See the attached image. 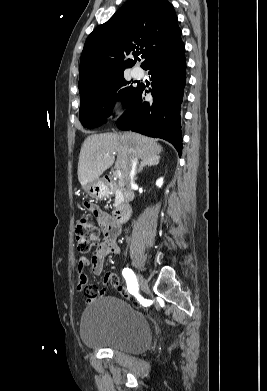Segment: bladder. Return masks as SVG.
Here are the masks:
<instances>
[{"label": "bladder", "mask_w": 267, "mask_h": 391, "mask_svg": "<svg viewBox=\"0 0 267 391\" xmlns=\"http://www.w3.org/2000/svg\"><path fill=\"white\" fill-rule=\"evenodd\" d=\"M80 338L90 348L140 354L149 347L152 332L140 311L118 297L106 296L85 308Z\"/></svg>", "instance_id": "31cf9c89"}]
</instances>
